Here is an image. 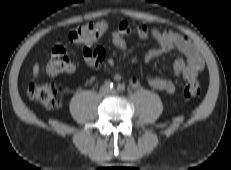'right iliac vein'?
I'll return each mask as SVG.
<instances>
[{
    "label": "right iliac vein",
    "instance_id": "obj_1",
    "mask_svg": "<svg viewBox=\"0 0 231 170\" xmlns=\"http://www.w3.org/2000/svg\"><path fill=\"white\" fill-rule=\"evenodd\" d=\"M109 93L108 89L106 87H102L100 90V94L102 96L107 95Z\"/></svg>",
    "mask_w": 231,
    "mask_h": 170
}]
</instances>
